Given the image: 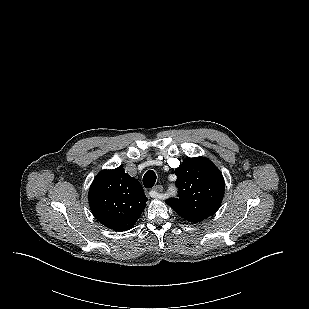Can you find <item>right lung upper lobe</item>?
Wrapping results in <instances>:
<instances>
[{"mask_svg": "<svg viewBox=\"0 0 309 309\" xmlns=\"http://www.w3.org/2000/svg\"><path fill=\"white\" fill-rule=\"evenodd\" d=\"M88 198L95 218L120 232L135 225L148 200L139 181L125 173L122 167L98 173Z\"/></svg>", "mask_w": 309, "mask_h": 309, "instance_id": "obj_1", "label": "right lung upper lobe"}]
</instances>
